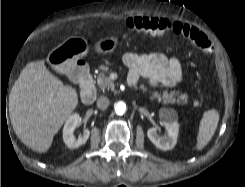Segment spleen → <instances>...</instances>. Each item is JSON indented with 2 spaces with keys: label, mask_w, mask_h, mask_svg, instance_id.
<instances>
[{
  "label": "spleen",
  "mask_w": 245,
  "mask_h": 187,
  "mask_svg": "<svg viewBox=\"0 0 245 187\" xmlns=\"http://www.w3.org/2000/svg\"><path fill=\"white\" fill-rule=\"evenodd\" d=\"M219 117L218 111L214 109L208 110L203 114L197 135V150L203 149L209 143L217 129Z\"/></svg>",
  "instance_id": "1"
}]
</instances>
